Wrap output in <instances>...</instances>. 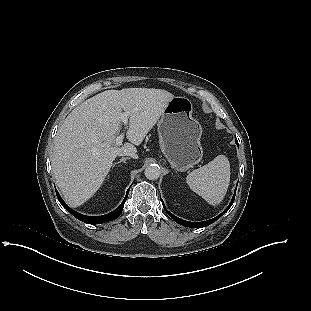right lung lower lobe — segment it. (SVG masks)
I'll return each mask as SVG.
<instances>
[{"label": "right lung lower lobe", "instance_id": "1", "mask_svg": "<svg viewBox=\"0 0 311 311\" xmlns=\"http://www.w3.org/2000/svg\"><path fill=\"white\" fill-rule=\"evenodd\" d=\"M57 193V197H58V200L59 202L62 204V206L64 208H66L74 217H76L78 220L82 221V222H85V223H88V224H102L104 222H109V221H112L116 218H118L124 208V203L128 197V194H129V189L127 190V193H126V196L123 200V202L120 204V206L112 211L111 213L109 214H106V215H103V216H85V215H82L74 210H72L64 201L63 199L61 198V196L59 195V193L56 191Z\"/></svg>", "mask_w": 311, "mask_h": 311}]
</instances>
